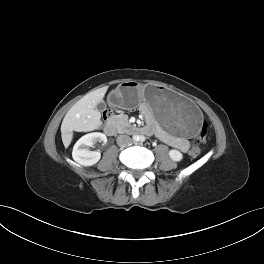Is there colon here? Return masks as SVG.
Masks as SVG:
<instances>
[{"instance_id":"5ec220e1","label":"colon","mask_w":264,"mask_h":264,"mask_svg":"<svg viewBox=\"0 0 264 264\" xmlns=\"http://www.w3.org/2000/svg\"><path fill=\"white\" fill-rule=\"evenodd\" d=\"M109 116H110V111L107 110L105 113V117H109ZM206 134H207V124L203 123L199 134L195 136L192 140V147L190 151L191 155L197 156L201 153L206 143Z\"/></svg>"}]
</instances>
